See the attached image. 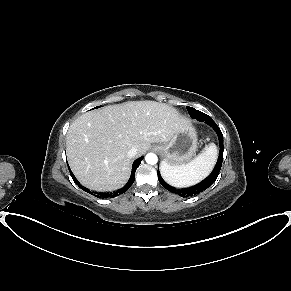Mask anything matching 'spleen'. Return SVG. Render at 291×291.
I'll return each instance as SVG.
<instances>
[{"label":"spleen","mask_w":291,"mask_h":291,"mask_svg":"<svg viewBox=\"0 0 291 291\" xmlns=\"http://www.w3.org/2000/svg\"><path fill=\"white\" fill-rule=\"evenodd\" d=\"M216 158V147L209 145L187 164L172 166L163 161L160 165V172L163 179L171 186L177 188L189 187L208 176Z\"/></svg>","instance_id":"spleen-1"}]
</instances>
